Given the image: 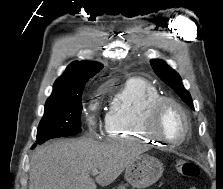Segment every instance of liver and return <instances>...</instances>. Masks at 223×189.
<instances>
[{
	"mask_svg": "<svg viewBox=\"0 0 223 189\" xmlns=\"http://www.w3.org/2000/svg\"><path fill=\"white\" fill-rule=\"evenodd\" d=\"M128 142L65 139L39 146L30 160L29 189H96L107 186L140 154ZM99 170L95 181L90 177Z\"/></svg>",
	"mask_w": 223,
	"mask_h": 189,
	"instance_id": "1",
	"label": "liver"
}]
</instances>
